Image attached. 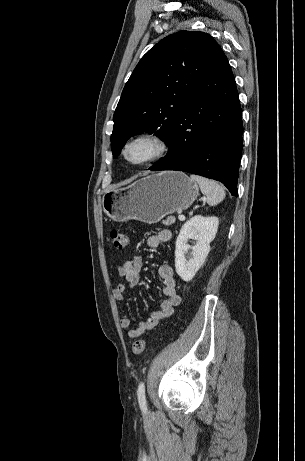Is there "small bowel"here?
<instances>
[{
	"mask_svg": "<svg viewBox=\"0 0 305 461\" xmlns=\"http://www.w3.org/2000/svg\"><path fill=\"white\" fill-rule=\"evenodd\" d=\"M171 237L172 233L170 230L161 229L148 238L147 245L152 249H158L162 244L168 242ZM142 268V258L138 255L126 258L118 265V274L124 282L117 284L112 291V295L117 302L123 303L125 293L138 284ZM159 275L163 281V298L160 301V308L151 312L147 319L133 327L127 315H122L120 318L121 328L127 330L128 336L131 339L140 337L146 331L152 330L162 321L168 319L181 302V297L176 291L173 268L169 264H163L159 267Z\"/></svg>",
	"mask_w": 305,
	"mask_h": 461,
	"instance_id": "small-bowel-1",
	"label": "small bowel"
}]
</instances>
